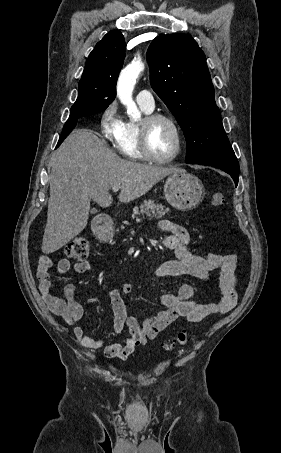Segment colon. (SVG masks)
I'll return each instance as SVG.
<instances>
[{"instance_id":"colon-1","label":"colon","mask_w":281,"mask_h":453,"mask_svg":"<svg viewBox=\"0 0 281 453\" xmlns=\"http://www.w3.org/2000/svg\"><path fill=\"white\" fill-rule=\"evenodd\" d=\"M209 202L213 207L224 205V195L222 192H214L209 196ZM65 258L67 261L87 262L89 258L88 241L85 238L73 239L66 248ZM189 342V336L186 333H180L176 340L165 345V350L170 352L176 348L184 347Z\"/></svg>"}]
</instances>
